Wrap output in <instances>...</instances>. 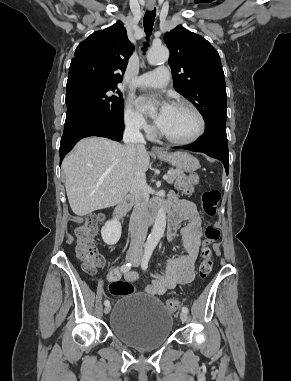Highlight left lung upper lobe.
I'll use <instances>...</instances> for the list:
<instances>
[{
  "mask_svg": "<svg viewBox=\"0 0 291 381\" xmlns=\"http://www.w3.org/2000/svg\"><path fill=\"white\" fill-rule=\"evenodd\" d=\"M164 41L176 91L203 115L205 130L226 128V85L217 50L183 26L167 32Z\"/></svg>",
  "mask_w": 291,
  "mask_h": 381,
  "instance_id": "5c2ea615",
  "label": "left lung upper lobe"
}]
</instances>
